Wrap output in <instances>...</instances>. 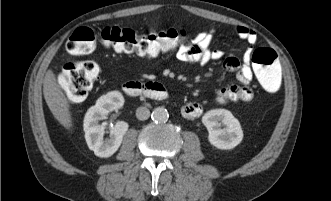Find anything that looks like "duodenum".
Instances as JSON below:
<instances>
[{
	"instance_id": "obj_1",
	"label": "duodenum",
	"mask_w": 331,
	"mask_h": 201,
	"mask_svg": "<svg viewBox=\"0 0 331 201\" xmlns=\"http://www.w3.org/2000/svg\"><path fill=\"white\" fill-rule=\"evenodd\" d=\"M122 91L128 96H144L155 101H164L168 98L165 87L158 82L130 81L122 85Z\"/></svg>"
}]
</instances>
